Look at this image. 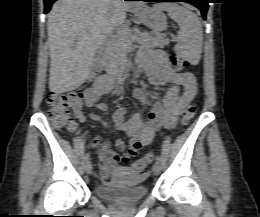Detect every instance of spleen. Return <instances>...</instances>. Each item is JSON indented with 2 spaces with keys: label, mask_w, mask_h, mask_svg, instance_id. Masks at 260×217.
Returning a JSON list of instances; mask_svg holds the SVG:
<instances>
[{
  "label": "spleen",
  "mask_w": 260,
  "mask_h": 217,
  "mask_svg": "<svg viewBox=\"0 0 260 217\" xmlns=\"http://www.w3.org/2000/svg\"><path fill=\"white\" fill-rule=\"evenodd\" d=\"M156 6L166 11L180 27L177 44L180 53L186 58H198L202 49L203 31L197 15L177 4L165 3Z\"/></svg>",
  "instance_id": "3e777b00"
}]
</instances>
